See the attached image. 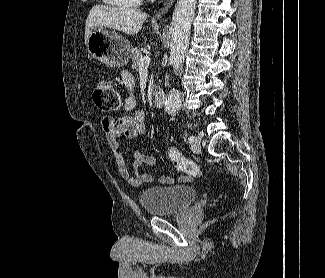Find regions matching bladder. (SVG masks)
<instances>
[{
	"mask_svg": "<svg viewBox=\"0 0 325 278\" xmlns=\"http://www.w3.org/2000/svg\"><path fill=\"white\" fill-rule=\"evenodd\" d=\"M197 198L190 185L154 186L142 191L140 202L149 216H166L189 208Z\"/></svg>",
	"mask_w": 325,
	"mask_h": 278,
	"instance_id": "31cf9c89",
	"label": "bladder"
}]
</instances>
